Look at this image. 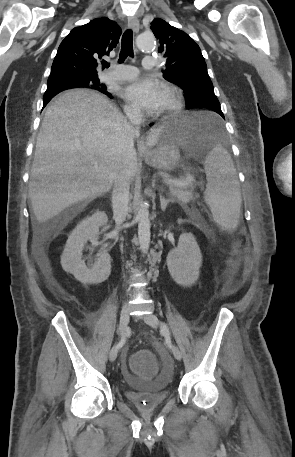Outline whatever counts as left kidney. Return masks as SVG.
Masks as SVG:
<instances>
[{
    "mask_svg": "<svg viewBox=\"0 0 295 457\" xmlns=\"http://www.w3.org/2000/svg\"><path fill=\"white\" fill-rule=\"evenodd\" d=\"M202 254L191 233L179 237L178 246L167 256V266L173 280L183 287L192 286L199 278Z\"/></svg>",
    "mask_w": 295,
    "mask_h": 457,
    "instance_id": "obj_1",
    "label": "left kidney"
}]
</instances>
